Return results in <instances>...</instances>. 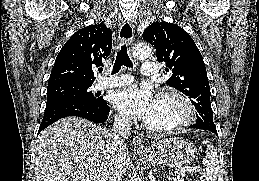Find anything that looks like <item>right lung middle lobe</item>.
I'll return each mask as SVG.
<instances>
[{"label":"right lung middle lobe","mask_w":259,"mask_h":181,"mask_svg":"<svg viewBox=\"0 0 259 181\" xmlns=\"http://www.w3.org/2000/svg\"><path fill=\"white\" fill-rule=\"evenodd\" d=\"M92 84L61 83L50 85L47 88L46 109L63 101H86L90 103H100L103 97L98 93H92Z\"/></svg>","instance_id":"obj_1"}]
</instances>
